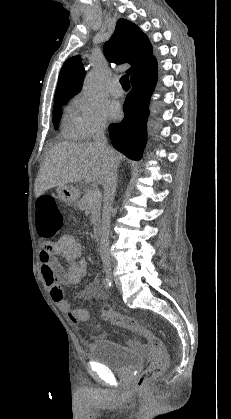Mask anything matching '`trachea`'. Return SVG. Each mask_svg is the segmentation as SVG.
<instances>
[{
  "label": "trachea",
  "instance_id": "3493384b",
  "mask_svg": "<svg viewBox=\"0 0 231 419\" xmlns=\"http://www.w3.org/2000/svg\"><path fill=\"white\" fill-rule=\"evenodd\" d=\"M120 83H121L122 87L129 88L130 87L129 76L128 75H123L120 78Z\"/></svg>",
  "mask_w": 231,
  "mask_h": 419
}]
</instances>
